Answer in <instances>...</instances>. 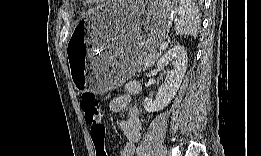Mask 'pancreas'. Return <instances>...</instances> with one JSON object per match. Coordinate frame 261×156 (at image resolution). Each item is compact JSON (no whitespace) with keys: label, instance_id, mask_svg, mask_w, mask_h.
I'll return each mask as SVG.
<instances>
[{"label":"pancreas","instance_id":"obj_1","mask_svg":"<svg viewBox=\"0 0 261 156\" xmlns=\"http://www.w3.org/2000/svg\"><path fill=\"white\" fill-rule=\"evenodd\" d=\"M158 56H159V54H156V51L153 52V53H147L144 56V58L142 59V61L140 62V64L137 67L136 71L140 72L142 70L147 69L151 65H153L155 63V61L157 60Z\"/></svg>","mask_w":261,"mask_h":156}]
</instances>
